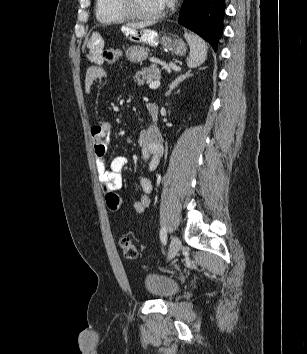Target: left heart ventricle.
<instances>
[{"instance_id": "1", "label": "left heart ventricle", "mask_w": 307, "mask_h": 354, "mask_svg": "<svg viewBox=\"0 0 307 354\" xmlns=\"http://www.w3.org/2000/svg\"><path fill=\"white\" fill-rule=\"evenodd\" d=\"M132 5L142 14H154L164 7L162 0H132Z\"/></svg>"}]
</instances>
